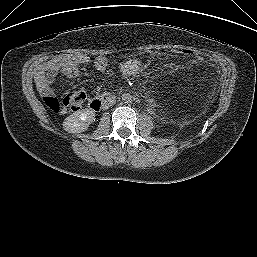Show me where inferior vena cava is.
<instances>
[{"mask_svg":"<svg viewBox=\"0 0 257 257\" xmlns=\"http://www.w3.org/2000/svg\"><path fill=\"white\" fill-rule=\"evenodd\" d=\"M114 103H115V101H114V100H112V101H110V103H108V104L106 105V107H108V106H112V105H114Z\"/></svg>","mask_w":257,"mask_h":257,"instance_id":"602c4592","label":"inferior vena cava"}]
</instances>
